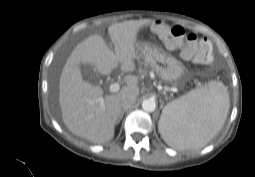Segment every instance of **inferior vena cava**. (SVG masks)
I'll return each mask as SVG.
<instances>
[{"label": "inferior vena cava", "mask_w": 255, "mask_h": 177, "mask_svg": "<svg viewBox=\"0 0 255 177\" xmlns=\"http://www.w3.org/2000/svg\"><path fill=\"white\" fill-rule=\"evenodd\" d=\"M136 102V97L133 95H126L121 99L120 105L121 107L126 110L133 106Z\"/></svg>", "instance_id": "inferior-vena-cava-1"}]
</instances>
